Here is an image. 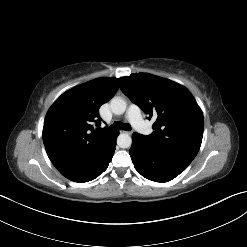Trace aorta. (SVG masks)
<instances>
[{
  "instance_id": "762f6f07",
  "label": "aorta",
  "mask_w": 247,
  "mask_h": 247,
  "mask_svg": "<svg viewBox=\"0 0 247 247\" xmlns=\"http://www.w3.org/2000/svg\"><path fill=\"white\" fill-rule=\"evenodd\" d=\"M111 111L115 115H121L126 111V102L121 97H114L110 102ZM132 144V138L127 133H122L117 138V145L120 148H130Z\"/></svg>"
}]
</instances>
